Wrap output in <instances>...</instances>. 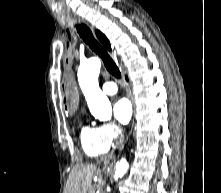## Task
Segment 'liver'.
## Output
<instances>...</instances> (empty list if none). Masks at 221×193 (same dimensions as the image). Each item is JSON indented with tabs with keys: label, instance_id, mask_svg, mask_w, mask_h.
<instances>
[{
	"label": "liver",
	"instance_id": "liver-1",
	"mask_svg": "<svg viewBox=\"0 0 221 193\" xmlns=\"http://www.w3.org/2000/svg\"><path fill=\"white\" fill-rule=\"evenodd\" d=\"M104 165L109 163L108 159L102 160ZM96 165H76L69 174L67 193H92V176Z\"/></svg>",
	"mask_w": 221,
	"mask_h": 193
}]
</instances>
